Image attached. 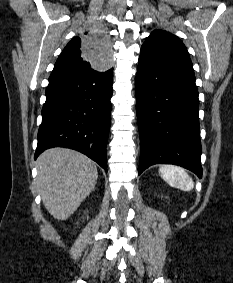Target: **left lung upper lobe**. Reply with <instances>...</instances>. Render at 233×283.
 I'll return each instance as SVG.
<instances>
[{"label":"left lung upper lobe","instance_id":"obj_1","mask_svg":"<svg viewBox=\"0 0 233 283\" xmlns=\"http://www.w3.org/2000/svg\"><path fill=\"white\" fill-rule=\"evenodd\" d=\"M142 48L161 53L189 55L182 41L177 36L164 30H154L146 38Z\"/></svg>","mask_w":233,"mask_h":283}]
</instances>
